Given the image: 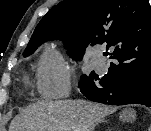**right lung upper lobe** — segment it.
<instances>
[{
    "instance_id": "cb5924a9",
    "label": "right lung upper lobe",
    "mask_w": 151,
    "mask_h": 131,
    "mask_svg": "<svg viewBox=\"0 0 151 131\" xmlns=\"http://www.w3.org/2000/svg\"><path fill=\"white\" fill-rule=\"evenodd\" d=\"M63 39L78 53L114 48L108 73L151 70V6L147 0H64L41 19L28 45Z\"/></svg>"
}]
</instances>
